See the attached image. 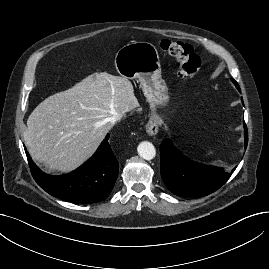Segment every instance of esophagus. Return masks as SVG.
I'll list each match as a JSON object with an SVG mask.
<instances>
[{"mask_svg": "<svg viewBox=\"0 0 269 269\" xmlns=\"http://www.w3.org/2000/svg\"><path fill=\"white\" fill-rule=\"evenodd\" d=\"M159 126L157 119L151 118L146 125V132L149 136H154L158 133Z\"/></svg>", "mask_w": 269, "mask_h": 269, "instance_id": "1", "label": "esophagus"}]
</instances>
